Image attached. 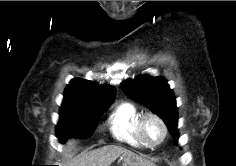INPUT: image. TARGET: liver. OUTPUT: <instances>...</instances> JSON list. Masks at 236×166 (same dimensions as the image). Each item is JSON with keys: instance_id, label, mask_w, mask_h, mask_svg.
<instances>
[{"instance_id": "obj_1", "label": "liver", "mask_w": 236, "mask_h": 166, "mask_svg": "<svg viewBox=\"0 0 236 166\" xmlns=\"http://www.w3.org/2000/svg\"><path fill=\"white\" fill-rule=\"evenodd\" d=\"M74 145L75 140H68L66 143L65 154L71 151ZM121 155L122 157H132L130 161L131 166H154L151 162L145 160L144 158L116 145L104 146L82 154L71 161L66 162L65 166H110Z\"/></svg>"}]
</instances>
